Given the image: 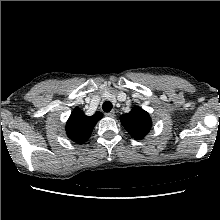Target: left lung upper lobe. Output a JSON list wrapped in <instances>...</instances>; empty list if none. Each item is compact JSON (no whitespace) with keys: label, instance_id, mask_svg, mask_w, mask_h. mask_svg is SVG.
<instances>
[{"label":"left lung upper lobe","instance_id":"obj_1","mask_svg":"<svg viewBox=\"0 0 220 220\" xmlns=\"http://www.w3.org/2000/svg\"><path fill=\"white\" fill-rule=\"evenodd\" d=\"M121 124L135 139L144 138L151 129L149 114L140 107H134L129 113L120 117Z\"/></svg>","mask_w":220,"mask_h":220}]
</instances>
